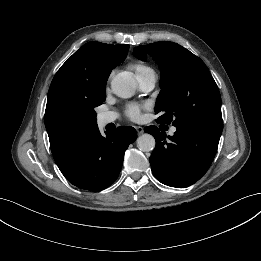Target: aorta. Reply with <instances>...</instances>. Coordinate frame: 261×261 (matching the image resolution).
<instances>
[{
	"label": "aorta",
	"mask_w": 261,
	"mask_h": 261,
	"mask_svg": "<svg viewBox=\"0 0 261 261\" xmlns=\"http://www.w3.org/2000/svg\"><path fill=\"white\" fill-rule=\"evenodd\" d=\"M111 88L115 95L121 98L132 97L137 89V81L131 72H120L111 81ZM156 142L152 135L145 133L137 138V147L143 152L152 151Z\"/></svg>",
	"instance_id": "1"
}]
</instances>
